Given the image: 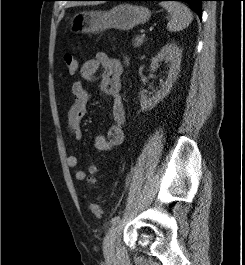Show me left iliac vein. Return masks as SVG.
<instances>
[{"label": "left iliac vein", "instance_id": "left-iliac-vein-1", "mask_svg": "<svg viewBox=\"0 0 245 265\" xmlns=\"http://www.w3.org/2000/svg\"><path fill=\"white\" fill-rule=\"evenodd\" d=\"M119 231V224L115 223L109 229L103 241V252L106 258H112L115 254V241Z\"/></svg>", "mask_w": 245, "mask_h": 265}]
</instances>
